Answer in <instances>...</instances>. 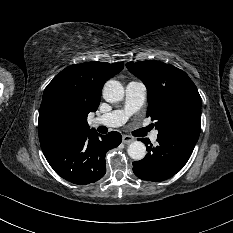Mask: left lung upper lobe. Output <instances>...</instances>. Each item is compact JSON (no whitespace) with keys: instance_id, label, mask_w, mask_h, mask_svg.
<instances>
[{"instance_id":"left-lung-upper-lobe-1","label":"left lung upper lobe","mask_w":233,"mask_h":233,"mask_svg":"<svg viewBox=\"0 0 233 233\" xmlns=\"http://www.w3.org/2000/svg\"><path fill=\"white\" fill-rule=\"evenodd\" d=\"M126 66L147 88V116L156 120L159 136L184 131L200 133L201 98L184 71L151 60L129 62Z\"/></svg>"}]
</instances>
